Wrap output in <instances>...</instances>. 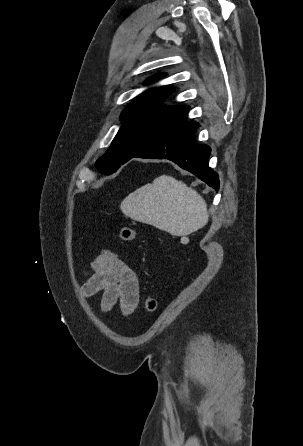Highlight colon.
Returning a JSON list of instances; mask_svg holds the SVG:
<instances>
[{"label":"colon","mask_w":303,"mask_h":446,"mask_svg":"<svg viewBox=\"0 0 303 446\" xmlns=\"http://www.w3.org/2000/svg\"><path fill=\"white\" fill-rule=\"evenodd\" d=\"M119 238L124 242H132L136 238V232L129 226H123L119 230ZM144 308L147 312H154L157 308V299L150 295L145 299Z\"/></svg>","instance_id":"1"}]
</instances>
